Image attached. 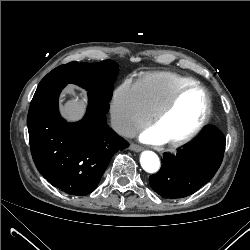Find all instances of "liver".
<instances>
[{"instance_id":"liver-1","label":"liver","mask_w":250,"mask_h":250,"mask_svg":"<svg viewBox=\"0 0 250 250\" xmlns=\"http://www.w3.org/2000/svg\"><path fill=\"white\" fill-rule=\"evenodd\" d=\"M86 102L84 99L79 97L69 98L64 105L61 107L62 115L68 121H78L82 118L85 113Z\"/></svg>"}]
</instances>
